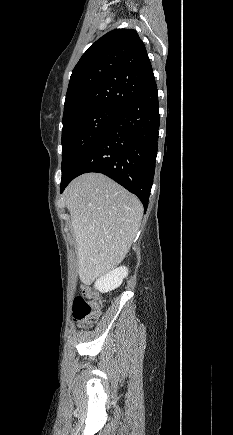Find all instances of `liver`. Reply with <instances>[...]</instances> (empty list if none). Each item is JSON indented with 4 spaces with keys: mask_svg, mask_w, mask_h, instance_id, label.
Wrapping results in <instances>:
<instances>
[{
    "mask_svg": "<svg viewBox=\"0 0 233 435\" xmlns=\"http://www.w3.org/2000/svg\"><path fill=\"white\" fill-rule=\"evenodd\" d=\"M64 196L76 237L79 278L90 283L123 261L139 230L143 206L100 173L77 177Z\"/></svg>",
    "mask_w": 233,
    "mask_h": 435,
    "instance_id": "1",
    "label": "liver"
}]
</instances>
